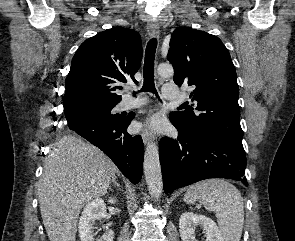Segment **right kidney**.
I'll list each match as a JSON object with an SVG mask.
<instances>
[{"mask_svg": "<svg viewBox=\"0 0 295 241\" xmlns=\"http://www.w3.org/2000/svg\"><path fill=\"white\" fill-rule=\"evenodd\" d=\"M115 198H109L110 204L116 203ZM106 203L104 200L97 198L86 204L79 220V236L81 241H94L93 225L96 220H101L105 217ZM114 233L112 230L107 231L102 237L101 241H113Z\"/></svg>", "mask_w": 295, "mask_h": 241, "instance_id": "1", "label": "right kidney"}]
</instances>
